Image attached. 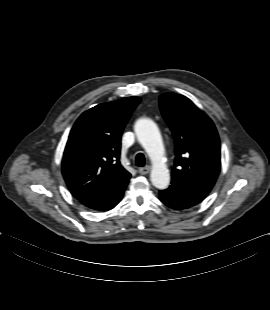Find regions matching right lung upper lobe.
Here are the masks:
<instances>
[{
	"label": "right lung upper lobe",
	"mask_w": 270,
	"mask_h": 310,
	"mask_svg": "<svg viewBox=\"0 0 270 310\" xmlns=\"http://www.w3.org/2000/svg\"><path fill=\"white\" fill-rule=\"evenodd\" d=\"M139 97L99 104L75 122L65 147L62 173L70 192L84 203L130 178L120 164L121 135Z\"/></svg>",
	"instance_id": "right-lung-upper-lobe-1"
}]
</instances>
